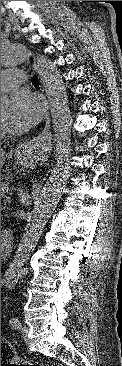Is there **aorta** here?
I'll return each instance as SVG.
<instances>
[{
  "label": "aorta",
  "mask_w": 122,
  "mask_h": 366,
  "mask_svg": "<svg viewBox=\"0 0 122 366\" xmlns=\"http://www.w3.org/2000/svg\"><path fill=\"white\" fill-rule=\"evenodd\" d=\"M34 53L35 68L42 77L43 86L49 99L55 137L58 142L55 164L47 177L39 196L34 202V208L26 224L20 240L17 254L13 260V276L22 272L23 263L39 241L43 229L59 202L71 174V114L65 84L59 71L44 55L33 52L24 43L1 44V67H15L26 63ZM6 100L1 97V107Z\"/></svg>",
  "instance_id": "aorta-1"
}]
</instances>
